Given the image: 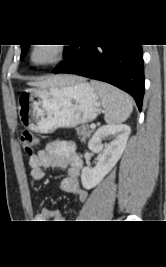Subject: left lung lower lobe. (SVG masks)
I'll use <instances>...</instances> for the list:
<instances>
[{"mask_svg": "<svg viewBox=\"0 0 166 267\" xmlns=\"http://www.w3.org/2000/svg\"><path fill=\"white\" fill-rule=\"evenodd\" d=\"M65 61L53 73H71L110 83L136 101L139 110L144 95L141 45L72 44L64 51Z\"/></svg>", "mask_w": 166, "mask_h": 267, "instance_id": "obj_1", "label": "left lung lower lobe"}]
</instances>
